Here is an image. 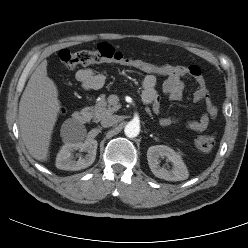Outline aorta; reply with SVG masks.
<instances>
[{"instance_id":"obj_1","label":"aorta","mask_w":248,"mask_h":248,"mask_svg":"<svg viewBox=\"0 0 248 248\" xmlns=\"http://www.w3.org/2000/svg\"><path fill=\"white\" fill-rule=\"evenodd\" d=\"M125 135L129 138L137 137L140 133V125L137 122L130 121L124 129Z\"/></svg>"}]
</instances>
